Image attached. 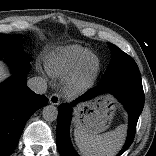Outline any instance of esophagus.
<instances>
[{
  "mask_svg": "<svg viewBox=\"0 0 156 156\" xmlns=\"http://www.w3.org/2000/svg\"><path fill=\"white\" fill-rule=\"evenodd\" d=\"M49 102L52 105H59V103H60V96H59V94H57V93L52 94L49 97Z\"/></svg>",
  "mask_w": 156,
  "mask_h": 156,
  "instance_id": "34e87169",
  "label": "esophagus"
}]
</instances>
